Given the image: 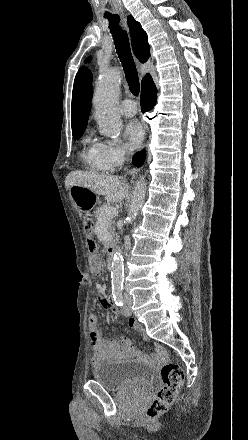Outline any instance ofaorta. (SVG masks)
I'll return each mask as SVG.
<instances>
[{
    "label": "aorta",
    "instance_id": "1",
    "mask_svg": "<svg viewBox=\"0 0 248 440\" xmlns=\"http://www.w3.org/2000/svg\"><path fill=\"white\" fill-rule=\"evenodd\" d=\"M120 90V72L110 70L103 73L96 87L94 95L95 119L100 132L111 138L114 142L119 141L122 128V120L118 112V95ZM146 195V182L144 176L136 182L131 202L129 205L126 221L132 223L144 203ZM124 259L122 248H118L114 254L111 270L112 288L119 289L123 285Z\"/></svg>",
    "mask_w": 248,
    "mask_h": 440
}]
</instances>
